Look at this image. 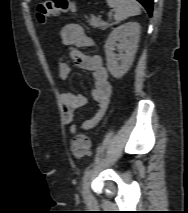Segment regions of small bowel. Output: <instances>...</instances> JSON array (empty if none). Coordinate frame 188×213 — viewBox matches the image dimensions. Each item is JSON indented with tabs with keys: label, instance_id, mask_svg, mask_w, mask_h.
Segmentation results:
<instances>
[{
	"label": "small bowel",
	"instance_id": "c3829d8e",
	"mask_svg": "<svg viewBox=\"0 0 188 213\" xmlns=\"http://www.w3.org/2000/svg\"><path fill=\"white\" fill-rule=\"evenodd\" d=\"M60 40L73 62L78 67L93 73L94 88L92 90V97L97 104V110L91 118L85 120L81 125V129L90 130L102 120L109 107L112 95L109 74L102 63L100 55H88L80 51V48L93 45L92 38L85 32L82 26L79 24L65 25L61 29ZM58 71L61 79H67L71 74V66L66 62H60ZM61 102L64 110L63 121L68 126L69 132L75 135L79 131V125L74 122V113L78 108L86 105L87 99L82 94L63 92L61 94Z\"/></svg>",
	"mask_w": 188,
	"mask_h": 213
}]
</instances>
